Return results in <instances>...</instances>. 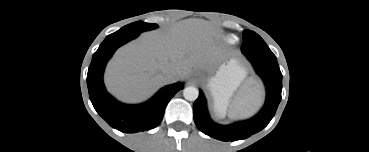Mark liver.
I'll list each match as a JSON object with an SVG mask.
<instances>
[{"label":"liver","mask_w":369,"mask_h":152,"mask_svg":"<svg viewBox=\"0 0 369 152\" xmlns=\"http://www.w3.org/2000/svg\"><path fill=\"white\" fill-rule=\"evenodd\" d=\"M217 30L204 20H186L162 32L144 33L122 48L109 62L105 74L108 90L122 101L135 103L163 85L183 79L192 68L206 67L215 56ZM172 69V77L166 70ZM259 89L249 87L246 92Z\"/></svg>","instance_id":"liver-1"}]
</instances>
